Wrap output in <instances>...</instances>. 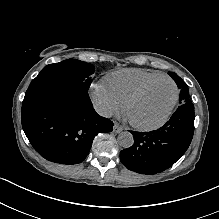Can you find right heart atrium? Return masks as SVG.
<instances>
[{
    "label": "right heart atrium",
    "mask_w": 219,
    "mask_h": 219,
    "mask_svg": "<svg viewBox=\"0 0 219 219\" xmlns=\"http://www.w3.org/2000/svg\"><path fill=\"white\" fill-rule=\"evenodd\" d=\"M90 95L95 108L102 116L111 117L122 113L123 105L114 97L106 84H94Z\"/></svg>",
    "instance_id": "d8ad5b80"
}]
</instances>
